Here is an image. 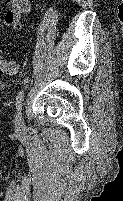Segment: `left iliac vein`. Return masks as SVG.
<instances>
[{
    "instance_id": "left-iliac-vein-1",
    "label": "left iliac vein",
    "mask_w": 123,
    "mask_h": 201,
    "mask_svg": "<svg viewBox=\"0 0 123 201\" xmlns=\"http://www.w3.org/2000/svg\"><path fill=\"white\" fill-rule=\"evenodd\" d=\"M24 119H23V113L20 111L15 119V128L17 131H22L24 129Z\"/></svg>"
}]
</instances>
